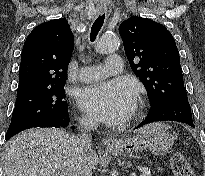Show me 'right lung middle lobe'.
Listing matches in <instances>:
<instances>
[{
	"instance_id": "obj_1",
	"label": "right lung middle lobe",
	"mask_w": 205,
	"mask_h": 176,
	"mask_svg": "<svg viewBox=\"0 0 205 176\" xmlns=\"http://www.w3.org/2000/svg\"><path fill=\"white\" fill-rule=\"evenodd\" d=\"M63 85L33 89L17 94L12 120L5 140L40 123L67 117L68 108L66 101H64Z\"/></svg>"
}]
</instances>
